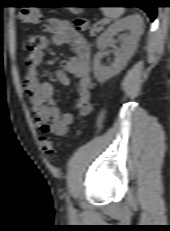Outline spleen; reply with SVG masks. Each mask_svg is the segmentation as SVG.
I'll list each match as a JSON object with an SVG mask.
<instances>
[{
  "label": "spleen",
  "mask_w": 170,
  "mask_h": 231,
  "mask_svg": "<svg viewBox=\"0 0 170 231\" xmlns=\"http://www.w3.org/2000/svg\"><path fill=\"white\" fill-rule=\"evenodd\" d=\"M102 12L107 17L117 19L124 13V8L122 7H103Z\"/></svg>",
  "instance_id": "3e777b00"
}]
</instances>
